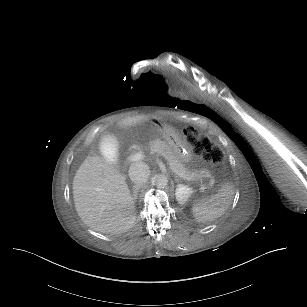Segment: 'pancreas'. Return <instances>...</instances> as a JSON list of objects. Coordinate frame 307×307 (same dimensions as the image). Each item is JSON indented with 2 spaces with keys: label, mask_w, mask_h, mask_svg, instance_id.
<instances>
[{
  "label": "pancreas",
  "mask_w": 307,
  "mask_h": 307,
  "mask_svg": "<svg viewBox=\"0 0 307 307\" xmlns=\"http://www.w3.org/2000/svg\"><path fill=\"white\" fill-rule=\"evenodd\" d=\"M150 150L152 153H156L159 154L163 157H165L166 159H168V161L170 162L171 165H173V170L178 172L179 175L184 176L185 179H192V180H201L202 179V174L201 173H197L195 171L192 172H188L186 171L185 168L180 167L179 164H177L178 160L177 158L172 155V150L171 149H167V143L161 139H156L150 142Z\"/></svg>",
  "instance_id": "pancreas-1"
}]
</instances>
